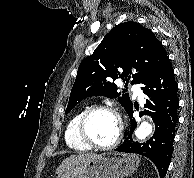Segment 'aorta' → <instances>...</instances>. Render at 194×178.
I'll use <instances>...</instances> for the list:
<instances>
[{
  "instance_id": "762f6f07",
  "label": "aorta",
  "mask_w": 194,
  "mask_h": 178,
  "mask_svg": "<svg viewBox=\"0 0 194 178\" xmlns=\"http://www.w3.org/2000/svg\"><path fill=\"white\" fill-rule=\"evenodd\" d=\"M152 130V126L147 121H143L136 129L135 135L138 139L142 140L151 135Z\"/></svg>"
}]
</instances>
